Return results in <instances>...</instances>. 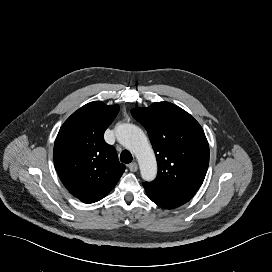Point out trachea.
Instances as JSON below:
<instances>
[{
    "instance_id": "trachea-1",
    "label": "trachea",
    "mask_w": 272,
    "mask_h": 272,
    "mask_svg": "<svg viewBox=\"0 0 272 272\" xmlns=\"http://www.w3.org/2000/svg\"><path fill=\"white\" fill-rule=\"evenodd\" d=\"M132 159H133L132 154L128 150H123L121 152V155H120L121 162L128 164L132 162Z\"/></svg>"
}]
</instances>
